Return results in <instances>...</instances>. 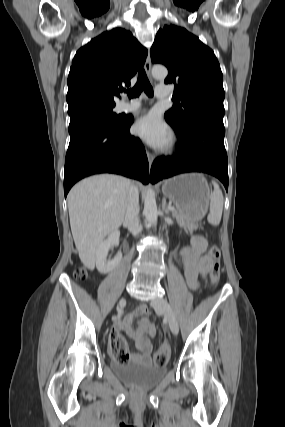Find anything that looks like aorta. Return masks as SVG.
Listing matches in <instances>:
<instances>
[{"instance_id": "obj_1", "label": "aorta", "mask_w": 285, "mask_h": 427, "mask_svg": "<svg viewBox=\"0 0 285 427\" xmlns=\"http://www.w3.org/2000/svg\"><path fill=\"white\" fill-rule=\"evenodd\" d=\"M168 74L166 67L162 65H155L152 68V76L156 79H165ZM144 215L146 219L152 223L157 224L158 210L156 205L155 193L153 190H148L144 200Z\"/></svg>"}]
</instances>
